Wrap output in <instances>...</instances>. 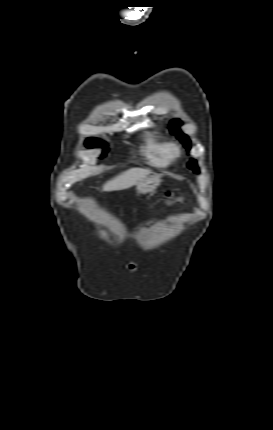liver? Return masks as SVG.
I'll return each mask as SVG.
<instances>
[{"instance_id": "6515ba94", "label": "liver", "mask_w": 273, "mask_h": 430, "mask_svg": "<svg viewBox=\"0 0 273 430\" xmlns=\"http://www.w3.org/2000/svg\"><path fill=\"white\" fill-rule=\"evenodd\" d=\"M151 171L142 168H131L119 175L115 176L113 179L107 181L103 190L107 192L125 190L133 185H137L139 181L144 179L146 176L150 175Z\"/></svg>"}]
</instances>
